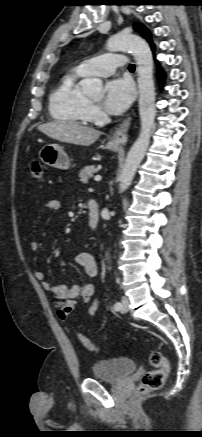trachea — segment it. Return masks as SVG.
<instances>
[{"mask_svg": "<svg viewBox=\"0 0 202 437\" xmlns=\"http://www.w3.org/2000/svg\"><path fill=\"white\" fill-rule=\"evenodd\" d=\"M129 69H130V70H134V69H135V65H134V64H130V65H129Z\"/></svg>", "mask_w": 202, "mask_h": 437, "instance_id": "3493384b", "label": "trachea"}]
</instances>
